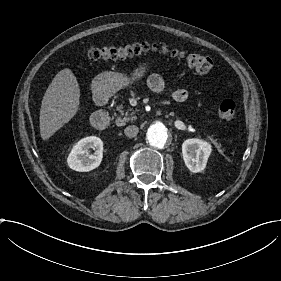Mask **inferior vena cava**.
I'll return each mask as SVG.
<instances>
[{
    "mask_svg": "<svg viewBox=\"0 0 281 281\" xmlns=\"http://www.w3.org/2000/svg\"><path fill=\"white\" fill-rule=\"evenodd\" d=\"M137 133H138V127L135 125L127 126L124 129L125 136H127L129 138L135 137L137 135Z\"/></svg>",
    "mask_w": 281,
    "mask_h": 281,
    "instance_id": "1",
    "label": "inferior vena cava"
}]
</instances>
